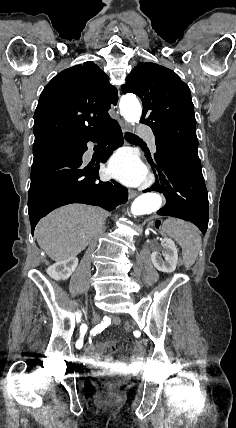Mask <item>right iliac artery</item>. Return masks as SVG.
<instances>
[{
	"instance_id": "1",
	"label": "right iliac artery",
	"mask_w": 236,
	"mask_h": 428,
	"mask_svg": "<svg viewBox=\"0 0 236 428\" xmlns=\"http://www.w3.org/2000/svg\"><path fill=\"white\" fill-rule=\"evenodd\" d=\"M87 331V325L82 324L80 327V339L76 342V348L81 349L83 346V337Z\"/></svg>"
}]
</instances>
